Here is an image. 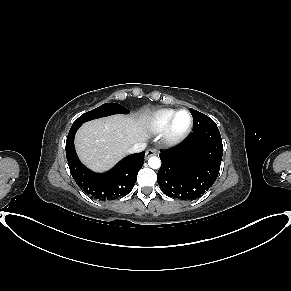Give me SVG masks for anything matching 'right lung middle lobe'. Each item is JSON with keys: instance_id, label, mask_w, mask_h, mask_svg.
<instances>
[{"instance_id": "right-lung-middle-lobe-1", "label": "right lung middle lobe", "mask_w": 291, "mask_h": 291, "mask_svg": "<svg viewBox=\"0 0 291 291\" xmlns=\"http://www.w3.org/2000/svg\"><path fill=\"white\" fill-rule=\"evenodd\" d=\"M129 110L117 103H105L98 108L91 110L87 113L81 115L75 122L72 127H80L84 122H87L92 119L101 118L113 114H128Z\"/></svg>"}]
</instances>
